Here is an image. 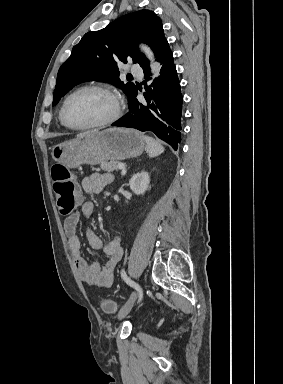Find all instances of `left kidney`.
<instances>
[{
	"instance_id": "1",
	"label": "left kidney",
	"mask_w": 283,
	"mask_h": 384,
	"mask_svg": "<svg viewBox=\"0 0 283 384\" xmlns=\"http://www.w3.org/2000/svg\"><path fill=\"white\" fill-rule=\"evenodd\" d=\"M149 174L148 172H140V174H134L131 180H129L130 190L140 196V194H144L147 188H149Z\"/></svg>"
}]
</instances>
